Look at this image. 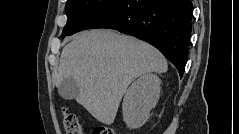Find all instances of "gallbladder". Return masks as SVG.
<instances>
[{"label":"gallbladder","instance_id":"bac80fb5","mask_svg":"<svg viewBox=\"0 0 239 134\" xmlns=\"http://www.w3.org/2000/svg\"><path fill=\"white\" fill-rule=\"evenodd\" d=\"M58 92L60 96L66 100L74 99L78 92L79 87L77 82L71 78H65L58 86Z\"/></svg>","mask_w":239,"mask_h":134}]
</instances>
